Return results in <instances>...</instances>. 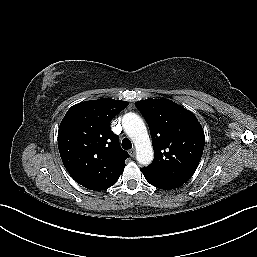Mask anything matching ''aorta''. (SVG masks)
<instances>
[{
  "mask_svg": "<svg viewBox=\"0 0 257 257\" xmlns=\"http://www.w3.org/2000/svg\"><path fill=\"white\" fill-rule=\"evenodd\" d=\"M122 125L136 148V159L141 165H149L154 157L152 144L142 118L135 113L123 116Z\"/></svg>",
  "mask_w": 257,
  "mask_h": 257,
  "instance_id": "762f6f07",
  "label": "aorta"
}]
</instances>
